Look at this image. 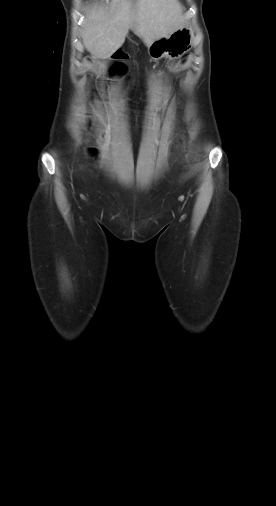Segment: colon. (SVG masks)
Segmentation results:
<instances>
[{
  "label": "colon",
  "mask_w": 276,
  "mask_h": 506,
  "mask_svg": "<svg viewBox=\"0 0 276 506\" xmlns=\"http://www.w3.org/2000/svg\"><path fill=\"white\" fill-rule=\"evenodd\" d=\"M117 51H119V49H118V50H117V49L108 50V51L106 52V57H107L108 59H113V60H114V62H116V63H117V62H119V60H123V59H125L126 57L128 58V57H130V55H131V54H130V52H128V51L126 52L125 50H120V51H122V53H126V54H122V56H120V57H119V56H117V54H116V53H117ZM87 60H89V59H87ZM112 77H113L114 79H120V78L122 77V72H121L120 70H114V71L112 72Z\"/></svg>",
  "instance_id": "obj_1"
}]
</instances>
